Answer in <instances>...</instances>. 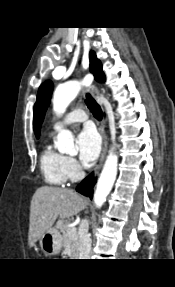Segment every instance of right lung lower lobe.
I'll return each mask as SVG.
<instances>
[{"label":"right lung lower lobe","instance_id":"98d812e1","mask_svg":"<svg viewBox=\"0 0 175 287\" xmlns=\"http://www.w3.org/2000/svg\"><path fill=\"white\" fill-rule=\"evenodd\" d=\"M96 182V179H94V174L91 173L88 177H86L77 187L76 190L92 199L93 196V186Z\"/></svg>","mask_w":175,"mask_h":287}]
</instances>
